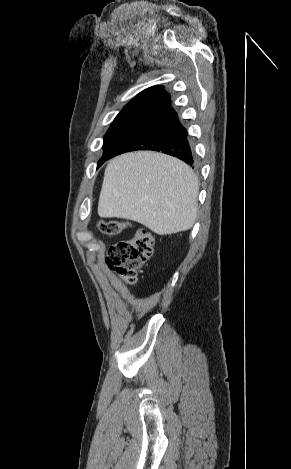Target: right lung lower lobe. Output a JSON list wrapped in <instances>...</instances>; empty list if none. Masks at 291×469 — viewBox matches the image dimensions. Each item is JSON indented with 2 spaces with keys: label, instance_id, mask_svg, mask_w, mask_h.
Instances as JSON below:
<instances>
[{
  "label": "right lung lower lobe",
  "instance_id": "obj_1",
  "mask_svg": "<svg viewBox=\"0 0 291 469\" xmlns=\"http://www.w3.org/2000/svg\"><path fill=\"white\" fill-rule=\"evenodd\" d=\"M134 150L161 151L181 159L190 166L195 164L187 130L171 106L146 121L122 141L107 159Z\"/></svg>",
  "mask_w": 291,
  "mask_h": 469
}]
</instances>
